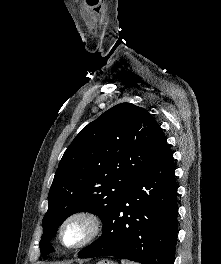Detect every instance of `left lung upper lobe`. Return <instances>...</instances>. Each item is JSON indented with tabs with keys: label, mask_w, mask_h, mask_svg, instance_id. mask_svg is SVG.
Wrapping results in <instances>:
<instances>
[{
	"label": "left lung upper lobe",
	"mask_w": 221,
	"mask_h": 264,
	"mask_svg": "<svg viewBox=\"0 0 221 264\" xmlns=\"http://www.w3.org/2000/svg\"><path fill=\"white\" fill-rule=\"evenodd\" d=\"M166 145L151 114L131 103L112 107L81 130L65 151L49 191L42 255L54 251L50 240L70 215L87 211L103 222Z\"/></svg>",
	"instance_id": "1"
}]
</instances>
